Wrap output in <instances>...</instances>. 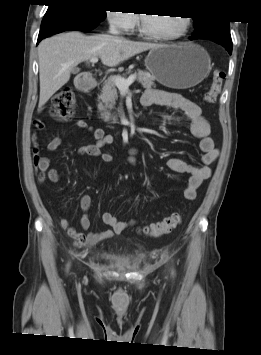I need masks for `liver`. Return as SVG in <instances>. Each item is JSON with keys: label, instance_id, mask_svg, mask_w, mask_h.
<instances>
[{"label": "liver", "instance_id": "obj_1", "mask_svg": "<svg viewBox=\"0 0 261 355\" xmlns=\"http://www.w3.org/2000/svg\"><path fill=\"white\" fill-rule=\"evenodd\" d=\"M159 46L107 34L85 36L76 31L43 40L38 46L39 109L69 81L71 72L79 63L99 57L104 65L114 67L136 54Z\"/></svg>", "mask_w": 261, "mask_h": 355}]
</instances>
